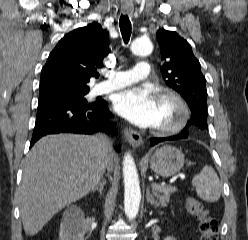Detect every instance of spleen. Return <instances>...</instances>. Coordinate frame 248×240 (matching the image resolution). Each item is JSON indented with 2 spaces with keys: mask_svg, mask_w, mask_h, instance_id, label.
Returning a JSON list of instances; mask_svg holds the SVG:
<instances>
[{
  "mask_svg": "<svg viewBox=\"0 0 248 240\" xmlns=\"http://www.w3.org/2000/svg\"><path fill=\"white\" fill-rule=\"evenodd\" d=\"M192 185L195 187L198 197L207 202H215L221 196L220 180L215 170L209 165L203 167L200 173L193 177Z\"/></svg>",
  "mask_w": 248,
  "mask_h": 240,
  "instance_id": "spleen-1",
  "label": "spleen"
}]
</instances>
